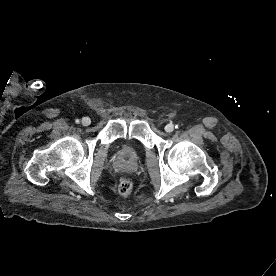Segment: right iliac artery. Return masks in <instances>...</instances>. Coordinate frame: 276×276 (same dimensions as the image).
<instances>
[{"mask_svg":"<svg viewBox=\"0 0 276 276\" xmlns=\"http://www.w3.org/2000/svg\"><path fill=\"white\" fill-rule=\"evenodd\" d=\"M75 123H76V124H79V123H80L79 119H76V120H75Z\"/></svg>","mask_w":276,"mask_h":276,"instance_id":"right-iliac-artery-1","label":"right iliac artery"}]
</instances>
